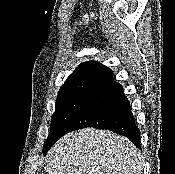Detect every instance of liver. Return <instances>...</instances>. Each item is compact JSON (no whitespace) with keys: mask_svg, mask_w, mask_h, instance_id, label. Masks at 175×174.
I'll return each mask as SVG.
<instances>
[{"mask_svg":"<svg viewBox=\"0 0 175 174\" xmlns=\"http://www.w3.org/2000/svg\"><path fill=\"white\" fill-rule=\"evenodd\" d=\"M48 174H141V152L126 137L85 128L60 138L45 161Z\"/></svg>","mask_w":175,"mask_h":174,"instance_id":"liver-1","label":"liver"}]
</instances>
